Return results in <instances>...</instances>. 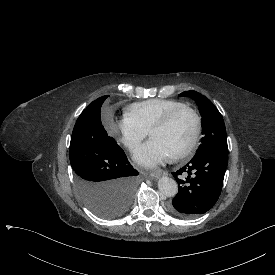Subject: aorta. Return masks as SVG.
<instances>
[{
    "mask_svg": "<svg viewBox=\"0 0 275 275\" xmlns=\"http://www.w3.org/2000/svg\"><path fill=\"white\" fill-rule=\"evenodd\" d=\"M158 188L160 193L166 197H173L178 192V185L176 181L166 176L159 179Z\"/></svg>",
    "mask_w": 275,
    "mask_h": 275,
    "instance_id": "aorta-1",
    "label": "aorta"
}]
</instances>
